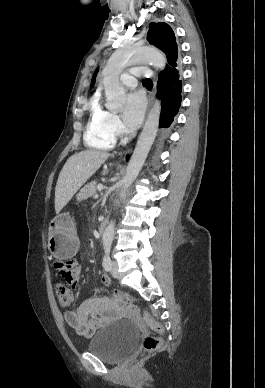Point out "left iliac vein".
Returning a JSON list of instances; mask_svg holds the SVG:
<instances>
[{"label":"left iliac vein","mask_w":265,"mask_h":388,"mask_svg":"<svg viewBox=\"0 0 265 388\" xmlns=\"http://www.w3.org/2000/svg\"><path fill=\"white\" fill-rule=\"evenodd\" d=\"M111 274L114 278L118 277V263L116 261L112 262Z\"/></svg>","instance_id":"1"}]
</instances>
